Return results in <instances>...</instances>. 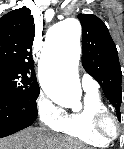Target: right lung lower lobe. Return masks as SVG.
Wrapping results in <instances>:
<instances>
[{"label":"right lung lower lobe","instance_id":"right-lung-lower-lobe-1","mask_svg":"<svg viewBox=\"0 0 124 149\" xmlns=\"http://www.w3.org/2000/svg\"><path fill=\"white\" fill-rule=\"evenodd\" d=\"M37 114V110L29 108L22 100L0 94V138L29 127Z\"/></svg>","mask_w":124,"mask_h":149}]
</instances>
